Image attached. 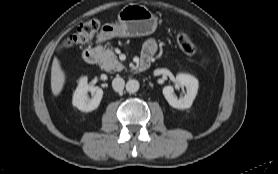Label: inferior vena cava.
Listing matches in <instances>:
<instances>
[{"instance_id": "obj_1", "label": "inferior vena cava", "mask_w": 278, "mask_h": 174, "mask_svg": "<svg viewBox=\"0 0 278 174\" xmlns=\"http://www.w3.org/2000/svg\"><path fill=\"white\" fill-rule=\"evenodd\" d=\"M125 81L121 77H116L112 81V87L116 92H121L124 89Z\"/></svg>"}]
</instances>
